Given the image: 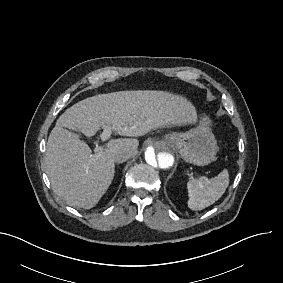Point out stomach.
<instances>
[{
	"label": "stomach",
	"instance_id": "1",
	"mask_svg": "<svg viewBox=\"0 0 283 283\" xmlns=\"http://www.w3.org/2000/svg\"><path fill=\"white\" fill-rule=\"evenodd\" d=\"M166 146L175 149L187 163L198 166L209 165L215 160L218 145L206 125L186 132H172L162 137Z\"/></svg>",
	"mask_w": 283,
	"mask_h": 283
}]
</instances>
